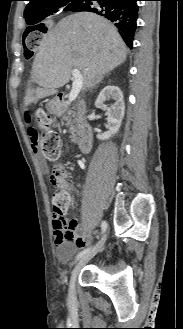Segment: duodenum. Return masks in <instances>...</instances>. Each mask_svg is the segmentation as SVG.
I'll return each mask as SVG.
<instances>
[{"mask_svg": "<svg viewBox=\"0 0 183 329\" xmlns=\"http://www.w3.org/2000/svg\"><path fill=\"white\" fill-rule=\"evenodd\" d=\"M58 98L62 102H65L66 94L60 93L58 95ZM79 110H80L81 116L84 118L85 105L82 101L79 103ZM91 145H92V129H91L90 125L85 120H83L82 131L79 133V136H78V149L82 154H87L91 150Z\"/></svg>", "mask_w": 183, "mask_h": 329, "instance_id": "duodenum-1", "label": "duodenum"}]
</instances>
